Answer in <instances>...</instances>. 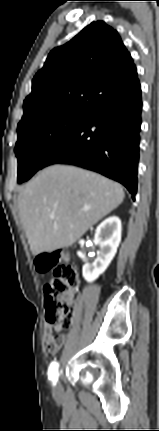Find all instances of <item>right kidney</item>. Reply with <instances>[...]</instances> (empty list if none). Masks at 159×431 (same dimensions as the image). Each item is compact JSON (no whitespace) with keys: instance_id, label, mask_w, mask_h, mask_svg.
Listing matches in <instances>:
<instances>
[{"instance_id":"1","label":"right kidney","mask_w":159,"mask_h":431,"mask_svg":"<svg viewBox=\"0 0 159 431\" xmlns=\"http://www.w3.org/2000/svg\"><path fill=\"white\" fill-rule=\"evenodd\" d=\"M121 232V220L117 216L107 218L97 227L95 239L99 242L100 251L94 262L85 263L82 268L87 282L95 281L108 268L120 244Z\"/></svg>"}]
</instances>
